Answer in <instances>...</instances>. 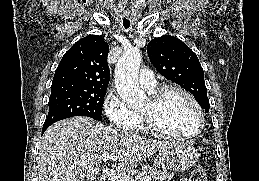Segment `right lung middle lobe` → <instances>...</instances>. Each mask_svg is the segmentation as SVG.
<instances>
[{"mask_svg": "<svg viewBox=\"0 0 259 181\" xmlns=\"http://www.w3.org/2000/svg\"><path fill=\"white\" fill-rule=\"evenodd\" d=\"M107 88L58 86L51 87L49 113L43 127L73 116L102 120V106Z\"/></svg>", "mask_w": 259, "mask_h": 181, "instance_id": "1", "label": "right lung middle lobe"}]
</instances>
